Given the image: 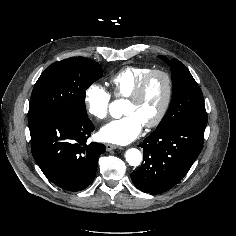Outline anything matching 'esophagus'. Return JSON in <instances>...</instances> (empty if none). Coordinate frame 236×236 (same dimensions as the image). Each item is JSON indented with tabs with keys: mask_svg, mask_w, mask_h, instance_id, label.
Wrapping results in <instances>:
<instances>
[{
	"mask_svg": "<svg viewBox=\"0 0 236 236\" xmlns=\"http://www.w3.org/2000/svg\"><path fill=\"white\" fill-rule=\"evenodd\" d=\"M118 148H121V147H119L118 145L110 144V143L106 144L107 151H111V150L118 149Z\"/></svg>",
	"mask_w": 236,
	"mask_h": 236,
	"instance_id": "esophagus-1",
	"label": "esophagus"
}]
</instances>
